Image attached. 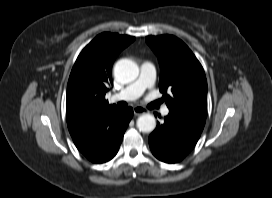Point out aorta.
I'll return each mask as SVG.
<instances>
[{"instance_id": "obj_1", "label": "aorta", "mask_w": 272, "mask_h": 198, "mask_svg": "<svg viewBox=\"0 0 272 198\" xmlns=\"http://www.w3.org/2000/svg\"><path fill=\"white\" fill-rule=\"evenodd\" d=\"M114 75L124 83L134 81L139 75L137 64L130 59H121L114 66ZM156 127V120L150 114H143L137 119V128L144 133L152 132Z\"/></svg>"}]
</instances>
